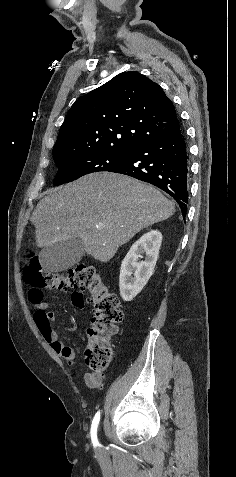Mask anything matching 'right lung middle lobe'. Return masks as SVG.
I'll list each match as a JSON object with an SVG mask.
<instances>
[{"instance_id":"obj_1","label":"right lung middle lobe","mask_w":236,"mask_h":477,"mask_svg":"<svg viewBox=\"0 0 236 477\" xmlns=\"http://www.w3.org/2000/svg\"><path fill=\"white\" fill-rule=\"evenodd\" d=\"M127 160V154L98 151H87L74 156L54 157V161L59 168L54 185L68 183L90 173L110 171L123 165Z\"/></svg>"}]
</instances>
